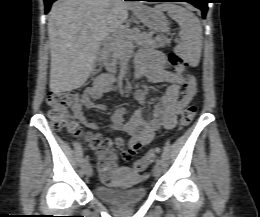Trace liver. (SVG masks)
<instances>
[{
    "label": "liver",
    "instance_id": "1",
    "mask_svg": "<svg viewBox=\"0 0 260 217\" xmlns=\"http://www.w3.org/2000/svg\"><path fill=\"white\" fill-rule=\"evenodd\" d=\"M129 3L110 0H58L49 12L50 90L55 94L81 87L90 76L97 50L122 27Z\"/></svg>",
    "mask_w": 260,
    "mask_h": 217
}]
</instances>
